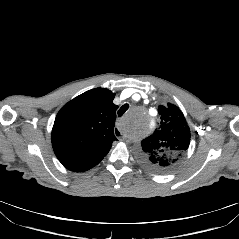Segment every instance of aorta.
Segmentation results:
<instances>
[{
	"label": "aorta",
	"instance_id": "1",
	"mask_svg": "<svg viewBox=\"0 0 239 239\" xmlns=\"http://www.w3.org/2000/svg\"><path fill=\"white\" fill-rule=\"evenodd\" d=\"M153 117V116H152ZM155 122V117H153V123Z\"/></svg>",
	"mask_w": 239,
	"mask_h": 239
}]
</instances>
